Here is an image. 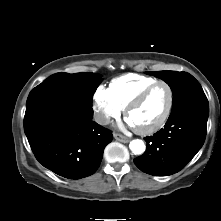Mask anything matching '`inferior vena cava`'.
Instances as JSON below:
<instances>
[{
  "label": "inferior vena cava",
  "instance_id": "inferior-vena-cava-1",
  "mask_svg": "<svg viewBox=\"0 0 221 221\" xmlns=\"http://www.w3.org/2000/svg\"><path fill=\"white\" fill-rule=\"evenodd\" d=\"M94 121L100 125H107L110 122V118L103 113H95L94 114Z\"/></svg>",
  "mask_w": 221,
  "mask_h": 221
}]
</instances>
